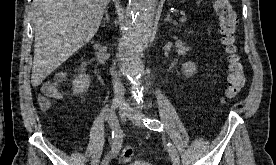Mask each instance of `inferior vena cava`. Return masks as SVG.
<instances>
[{
  "mask_svg": "<svg viewBox=\"0 0 276 165\" xmlns=\"http://www.w3.org/2000/svg\"><path fill=\"white\" fill-rule=\"evenodd\" d=\"M111 75L114 87V102L122 103L124 102L125 89L113 68H111Z\"/></svg>",
  "mask_w": 276,
  "mask_h": 165,
  "instance_id": "602c4592",
  "label": "inferior vena cava"
}]
</instances>
